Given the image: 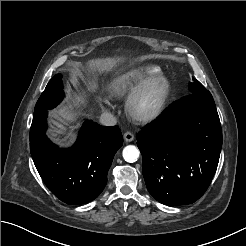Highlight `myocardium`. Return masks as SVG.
Wrapping results in <instances>:
<instances>
[{"label": "myocardium", "instance_id": "obj_1", "mask_svg": "<svg viewBox=\"0 0 246 246\" xmlns=\"http://www.w3.org/2000/svg\"><path fill=\"white\" fill-rule=\"evenodd\" d=\"M162 88L155 103L149 107L143 105L149 91L156 85ZM170 82L161 74L154 75L139 86L129 95L127 100V111L132 119L140 123H148L155 120L163 111L170 94Z\"/></svg>", "mask_w": 246, "mask_h": 246}]
</instances>
